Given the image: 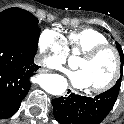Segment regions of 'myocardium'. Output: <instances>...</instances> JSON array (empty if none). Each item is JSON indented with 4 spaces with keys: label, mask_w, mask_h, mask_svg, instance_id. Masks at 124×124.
I'll return each mask as SVG.
<instances>
[{
    "label": "myocardium",
    "mask_w": 124,
    "mask_h": 124,
    "mask_svg": "<svg viewBox=\"0 0 124 124\" xmlns=\"http://www.w3.org/2000/svg\"><path fill=\"white\" fill-rule=\"evenodd\" d=\"M107 50L112 51L114 54V57H115V69H114L113 75L104 85H101L99 87L90 88L89 90L92 93L100 94V93H104V92L110 90L111 88H113L117 84V82L120 80L122 73L124 71L121 54H120L119 50L110 43L100 44V45L90 48L89 50H87L85 53H83L81 55L80 59L90 60V59L97 57L99 54H101L102 52L107 51Z\"/></svg>",
    "instance_id": "1"
}]
</instances>
